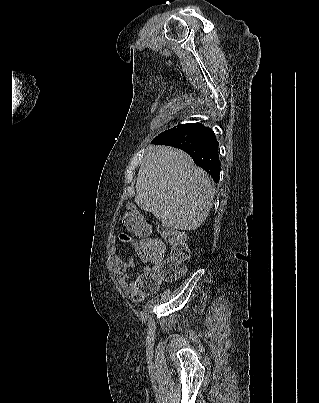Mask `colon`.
I'll return each mask as SVG.
<instances>
[{"label":"colon","mask_w":319,"mask_h":403,"mask_svg":"<svg viewBox=\"0 0 319 403\" xmlns=\"http://www.w3.org/2000/svg\"><path fill=\"white\" fill-rule=\"evenodd\" d=\"M129 209L134 207L132 202L127 204ZM126 227L141 236L134 244V251L142 255L154 266L137 279L136 291L142 292V297L157 291L163 281H172L181 277L186 271V262L190 258V250L182 231L164 227L161 229L163 241L171 246V254L164 257V247L160 241H152L147 235L146 223L137 210H129L123 219Z\"/></svg>","instance_id":"5ec220e1"}]
</instances>
